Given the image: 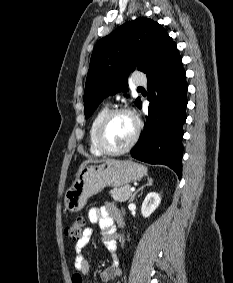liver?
I'll return each instance as SVG.
<instances>
[{"label":"liver","instance_id":"1","mask_svg":"<svg viewBox=\"0 0 233 283\" xmlns=\"http://www.w3.org/2000/svg\"><path fill=\"white\" fill-rule=\"evenodd\" d=\"M107 161H110V159H106V160H103V161H98V160H86V161H84V162L80 165L77 175H78L79 172H80L87 164H89V163H99V162H107Z\"/></svg>","mask_w":233,"mask_h":283}]
</instances>
